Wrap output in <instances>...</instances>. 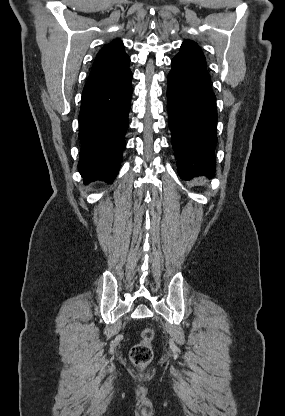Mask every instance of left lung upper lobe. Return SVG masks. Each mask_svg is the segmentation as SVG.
<instances>
[{
  "label": "left lung upper lobe",
  "instance_id": "5c2ea615",
  "mask_svg": "<svg viewBox=\"0 0 285 416\" xmlns=\"http://www.w3.org/2000/svg\"><path fill=\"white\" fill-rule=\"evenodd\" d=\"M176 56L189 59L192 62L206 68L205 57L197 43L193 41H184V43L181 46L180 52Z\"/></svg>",
  "mask_w": 285,
  "mask_h": 416
}]
</instances>
